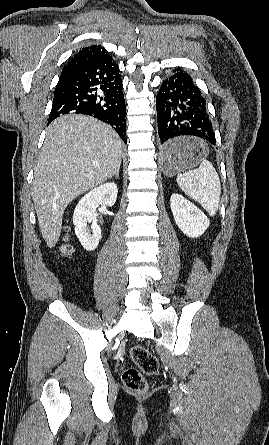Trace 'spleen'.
I'll return each mask as SVG.
<instances>
[{"label": "spleen", "instance_id": "1", "mask_svg": "<svg viewBox=\"0 0 269 445\" xmlns=\"http://www.w3.org/2000/svg\"><path fill=\"white\" fill-rule=\"evenodd\" d=\"M177 183L181 190L214 216L217 213L221 183L211 162L202 159L197 169L177 175Z\"/></svg>", "mask_w": 269, "mask_h": 445}]
</instances>
